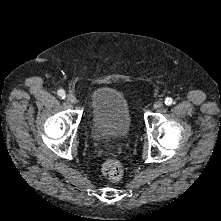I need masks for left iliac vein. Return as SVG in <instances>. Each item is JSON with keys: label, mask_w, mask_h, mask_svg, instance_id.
<instances>
[{"label": "left iliac vein", "mask_w": 221, "mask_h": 221, "mask_svg": "<svg viewBox=\"0 0 221 221\" xmlns=\"http://www.w3.org/2000/svg\"><path fill=\"white\" fill-rule=\"evenodd\" d=\"M163 106V102L162 101H156L153 104L154 109H160Z\"/></svg>", "instance_id": "4c4485c4"}]
</instances>
